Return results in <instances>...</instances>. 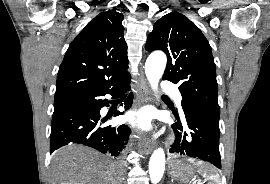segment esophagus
Returning <instances> with one entry per match:
<instances>
[{"label": "esophagus", "instance_id": "obj_1", "mask_svg": "<svg viewBox=\"0 0 270 184\" xmlns=\"http://www.w3.org/2000/svg\"><path fill=\"white\" fill-rule=\"evenodd\" d=\"M139 100L141 104L149 103L151 101L150 91L148 83L144 75L140 77V86H139ZM153 150V143L149 135H144L143 142V152L148 155Z\"/></svg>", "mask_w": 270, "mask_h": 184}]
</instances>
